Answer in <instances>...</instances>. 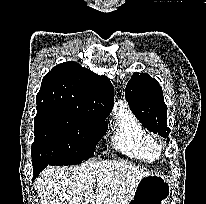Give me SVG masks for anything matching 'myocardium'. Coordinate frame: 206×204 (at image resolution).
I'll return each mask as SVG.
<instances>
[{"instance_id": "myocardium-1", "label": "myocardium", "mask_w": 206, "mask_h": 204, "mask_svg": "<svg viewBox=\"0 0 206 204\" xmlns=\"http://www.w3.org/2000/svg\"><path fill=\"white\" fill-rule=\"evenodd\" d=\"M163 152V146L161 144L156 143L155 145V153L159 156Z\"/></svg>"}]
</instances>
